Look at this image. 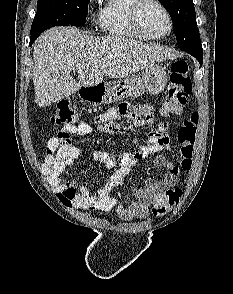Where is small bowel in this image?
Wrapping results in <instances>:
<instances>
[{
  "instance_id": "1",
  "label": "small bowel",
  "mask_w": 233,
  "mask_h": 294,
  "mask_svg": "<svg viewBox=\"0 0 233 294\" xmlns=\"http://www.w3.org/2000/svg\"><path fill=\"white\" fill-rule=\"evenodd\" d=\"M151 107V103L135 104V108L133 104H120L118 109H111L98 115L94 120L95 128L100 133L114 135L119 130L120 122H128L129 118L137 126H152V122H156V108ZM92 132L93 127L90 124L79 122L77 125L64 126L57 135L48 140L43 167L60 185L62 202L68 207L86 211L107 212L114 209L116 215L125 220L147 217L155 196L174 188L178 183L180 169L165 156L159 154L154 157V164L167 170L164 178L161 181L151 177L146 178L143 187L133 189L136 196L134 202L128 205L122 204L112 192L115 188L122 186L137 162L152 153L169 149L167 123L161 121L158 126H155V130L150 132L147 144L139 146L134 152L121 154L98 151V149H91V154H88L72 144L71 134L88 136ZM85 157L113 170L106 184L95 192H91L85 186H80L76 190L72 183H66L61 177L66 167L75 160ZM70 190L73 191L72 194L69 193Z\"/></svg>"
}]
</instances>
